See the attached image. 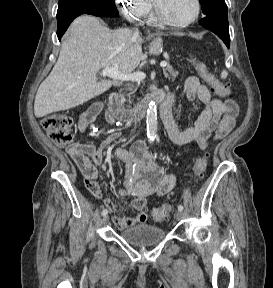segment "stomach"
<instances>
[{
  "mask_svg": "<svg viewBox=\"0 0 273 288\" xmlns=\"http://www.w3.org/2000/svg\"><path fill=\"white\" fill-rule=\"evenodd\" d=\"M162 45H163L162 38L161 37L155 38L149 46V52L154 55L160 54L162 51Z\"/></svg>",
  "mask_w": 273,
  "mask_h": 288,
  "instance_id": "1",
  "label": "stomach"
}]
</instances>
